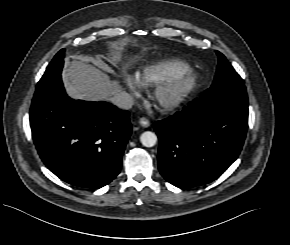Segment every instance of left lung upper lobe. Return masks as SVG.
Here are the masks:
<instances>
[{
    "label": "left lung upper lobe",
    "mask_w": 290,
    "mask_h": 245,
    "mask_svg": "<svg viewBox=\"0 0 290 245\" xmlns=\"http://www.w3.org/2000/svg\"><path fill=\"white\" fill-rule=\"evenodd\" d=\"M216 53L218 56V66L214 82L211 87H216L224 84H243L244 82L242 78L227 61L225 56L219 51H216Z\"/></svg>",
    "instance_id": "left-lung-upper-lobe-1"
}]
</instances>
